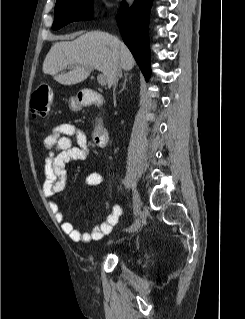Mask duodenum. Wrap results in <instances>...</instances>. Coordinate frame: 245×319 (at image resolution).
Masks as SVG:
<instances>
[{"label": "duodenum", "mask_w": 245, "mask_h": 319, "mask_svg": "<svg viewBox=\"0 0 245 319\" xmlns=\"http://www.w3.org/2000/svg\"><path fill=\"white\" fill-rule=\"evenodd\" d=\"M102 96L100 93H98L95 90H88L85 91L81 98V104L83 106H92L102 105ZM109 139V132L107 128L104 126V124L100 121H97L94 126L93 130V141L94 144L98 147H105L108 143Z\"/></svg>", "instance_id": "410a0bca"}]
</instances>
